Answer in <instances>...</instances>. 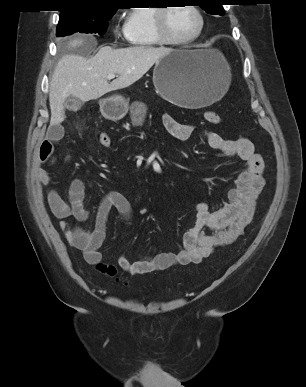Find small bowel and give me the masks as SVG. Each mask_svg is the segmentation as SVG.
<instances>
[{
  "label": "small bowel",
  "mask_w": 306,
  "mask_h": 387,
  "mask_svg": "<svg viewBox=\"0 0 306 387\" xmlns=\"http://www.w3.org/2000/svg\"><path fill=\"white\" fill-rule=\"evenodd\" d=\"M162 121L168 133L180 141L189 140L196 130L193 125L180 123L169 114H164ZM62 136L63 127L54 124L39 147L36 176L43 185L51 183V176L43 165L54 162V144ZM202 138L210 148L224 156H236L246 163L244 170L236 179L235 187L228 192L229 202L215 211H211L207 203L197 204L195 223L184 234L182 248L179 251L140 257L136 261H130L122 254L118 258V265L123 271L137 275L163 271L174 265L198 264L209 257L215 248L233 243L252 221L256 200L264 186L262 156L256 153L253 143L248 138L228 140L213 131H204ZM84 197V182L74 179L70 183L67 200L56 190L50 189L47 201L54 216L60 219L59 228L65 234L68 243L81 250L88 263L96 264L103 258L100 248L105 240L111 211L116 210L124 220L129 221L132 206L121 193L114 191L106 193L98 206L94 228L86 230L67 221L70 217L78 222L87 220L89 212L84 207Z\"/></svg>",
  "instance_id": "1"
}]
</instances>
